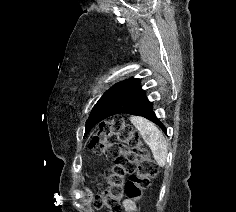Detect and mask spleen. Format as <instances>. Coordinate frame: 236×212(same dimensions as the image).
I'll return each mask as SVG.
<instances>
[{"label": "spleen", "mask_w": 236, "mask_h": 212, "mask_svg": "<svg viewBox=\"0 0 236 212\" xmlns=\"http://www.w3.org/2000/svg\"><path fill=\"white\" fill-rule=\"evenodd\" d=\"M130 121L139 131L144 142L150 147L157 164L164 167L167 157V143L162 132L155 124L143 117L132 116Z\"/></svg>", "instance_id": "1"}]
</instances>
